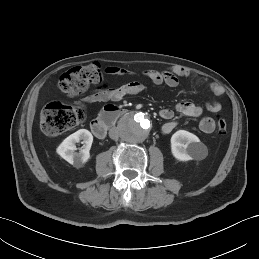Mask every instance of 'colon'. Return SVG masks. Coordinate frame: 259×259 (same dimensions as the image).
<instances>
[{
	"mask_svg": "<svg viewBox=\"0 0 259 259\" xmlns=\"http://www.w3.org/2000/svg\"><path fill=\"white\" fill-rule=\"evenodd\" d=\"M102 80V72L98 65L74 67L63 73L58 81L59 90L67 96H77L83 93L90 85ZM86 115L81 107H74L60 102H50L40 115V127L48 136H56L73 128L84 121ZM216 128L223 134L227 123L222 114L216 115Z\"/></svg>",
	"mask_w": 259,
	"mask_h": 259,
	"instance_id": "obj_1",
	"label": "colon"
}]
</instances>
